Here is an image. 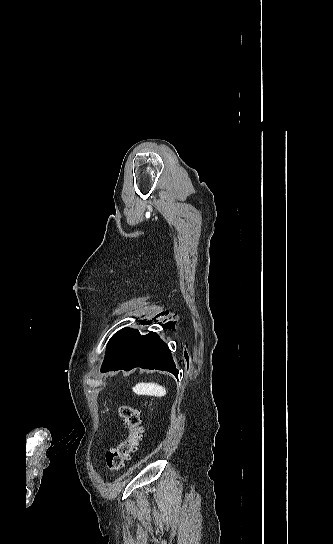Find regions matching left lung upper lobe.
Returning a JSON list of instances; mask_svg holds the SVG:
<instances>
[{
    "instance_id": "5c2ea615",
    "label": "left lung upper lobe",
    "mask_w": 333,
    "mask_h": 544,
    "mask_svg": "<svg viewBox=\"0 0 333 544\" xmlns=\"http://www.w3.org/2000/svg\"><path fill=\"white\" fill-rule=\"evenodd\" d=\"M107 355H108V351H107V353H106V356H105V358L107 357Z\"/></svg>"
}]
</instances>
